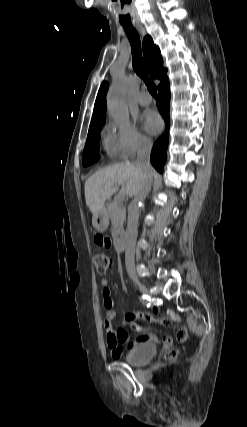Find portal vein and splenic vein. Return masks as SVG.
<instances>
[{"instance_id":"portal-vein-and-splenic-vein-1","label":"portal vein and splenic vein","mask_w":247,"mask_h":427,"mask_svg":"<svg viewBox=\"0 0 247 427\" xmlns=\"http://www.w3.org/2000/svg\"><path fill=\"white\" fill-rule=\"evenodd\" d=\"M125 194H126L125 192H122V191H121V192L119 193V195L115 197V200H117V201H122V200L124 199V197H125Z\"/></svg>"}]
</instances>
